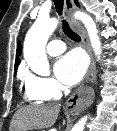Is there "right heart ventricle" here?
Returning <instances> with one entry per match:
<instances>
[{
	"label": "right heart ventricle",
	"mask_w": 117,
	"mask_h": 131,
	"mask_svg": "<svg viewBox=\"0 0 117 131\" xmlns=\"http://www.w3.org/2000/svg\"><path fill=\"white\" fill-rule=\"evenodd\" d=\"M24 97L27 101H29L31 103H41L46 100L42 95H40L36 91L30 89L26 85V83H25Z\"/></svg>",
	"instance_id": "1"
}]
</instances>
